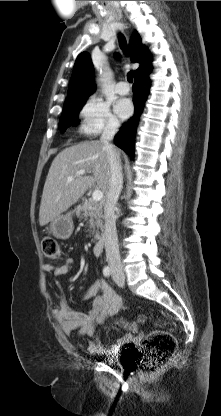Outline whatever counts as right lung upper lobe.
<instances>
[{
  "label": "right lung upper lobe",
  "mask_w": 221,
  "mask_h": 416,
  "mask_svg": "<svg viewBox=\"0 0 221 416\" xmlns=\"http://www.w3.org/2000/svg\"><path fill=\"white\" fill-rule=\"evenodd\" d=\"M128 51L131 61L140 63V67L135 70V76L151 71L150 52L142 44L137 32L130 39ZM93 79L94 71L90 55L88 52H82L76 59L65 102L87 98L95 90Z\"/></svg>",
  "instance_id": "cb5924a9"
}]
</instances>
